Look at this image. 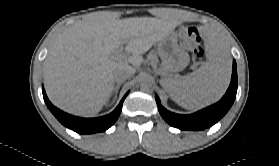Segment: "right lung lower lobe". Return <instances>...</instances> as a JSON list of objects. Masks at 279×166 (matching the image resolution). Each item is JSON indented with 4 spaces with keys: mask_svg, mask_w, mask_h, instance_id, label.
Wrapping results in <instances>:
<instances>
[{
    "mask_svg": "<svg viewBox=\"0 0 279 166\" xmlns=\"http://www.w3.org/2000/svg\"><path fill=\"white\" fill-rule=\"evenodd\" d=\"M43 98L44 101L49 108V110L52 112V114L67 128L74 130L77 133L82 134H89V133H96V132H102L107 130L109 127H111L116 120L118 119L122 104L124 99L126 98L127 94L122 98L119 105L115 108L113 112L106 116H102L99 118H79L72 115H69L59 109H57L55 106L51 104L49 99L47 98V95L45 93V90L43 89Z\"/></svg>",
    "mask_w": 279,
    "mask_h": 166,
    "instance_id": "1",
    "label": "right lung lower lobe"
}]
</instances>
